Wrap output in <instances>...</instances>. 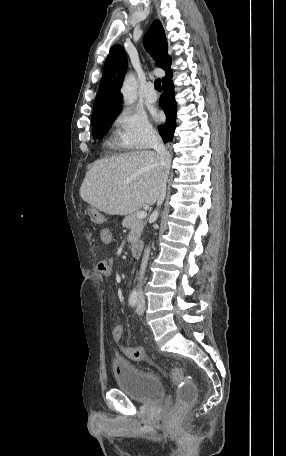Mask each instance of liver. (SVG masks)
I'll list each match as a JSON object with an SVG mask.
<instances>
[{
	"instance_id": "obj_1",
	"label": "liver",
	"mask_w": 286,
	"mask_h": 456,
	"mask_svg": "<svg viewBox=\"0 0 286 456\" xmlns=\"http://www.w3.org/2000/svg\"><path fill=\"white\" fill-rule=\"evenodd\" d=\"M165 176L153 151H136L96 161L80 188L81 198L109 215H127L158 200Z\"/></svg>"
}]
</instances>
